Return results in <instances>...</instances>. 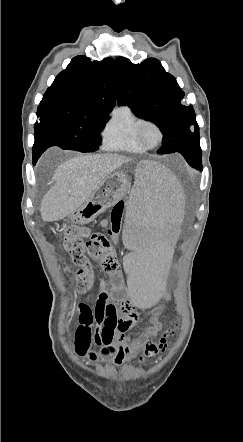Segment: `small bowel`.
I'll use <instances>...</instances> for the list:
<instances>
[{
  "label": "small bowel",
  "mask_w": 243,
  "mask_h": 442,
  "mask_svg": "<svg viewBox=\"0 0 243 442\" xmlns=\"http://www.w3.org/2000/svg\"><path fill=\"white\" fill-rule=\"evenodd\" d=\"M94 247L89 255L97 260L110 277V285L100 280L95 305L79 302L75 308L78 326L75 330V352L94 364L120 366L134 358L142 347L161 330L160 307L149 312L142 329L130 334L138 321L132 302L125 294L116 251L106 245L104 235H92ZM100 348L95 351L91 348Z\"/></svg>",
  "instance_id": "obj_1"
}]
</instances>
